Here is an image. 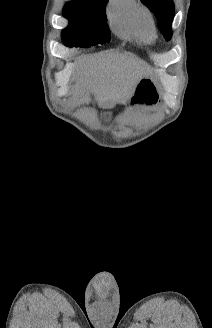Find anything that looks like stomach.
Returning a JSON list of instances; mask_svg holds the SVG:
<instances>
[{"instance_id": "stomach-1", "label": "stomach", "mask_w": 212, "mask_h": 328, "mask_svg": "<svg viewBox=\"0 0 212 328\" xmlns=\"http://www.w3.org/2000/svg\"><path fill=\"white\" fill-rule=\"evenodd\" d=\"M139 99L140 101H145L147 103H156L158 100V93L155 88V81L154 79L147 75L141 78L136 87L134 97L132 98L133 101ZM104 123H109V118H104Z\"/></svg>"}]
</instances>
